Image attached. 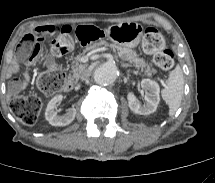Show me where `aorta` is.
I'll return each instance as SVG.
<instances>
[{
	"label": "aorta",
	"instance_id": "1",
	"mask_svg": "<svg viewBox=\"0 0 215 183\" xmlns=\"http://www.w3.org/2000/svg\"><path fill=\"white\" fill-rule=\"evenodd\" d=\"M120 75V70L113 62L100 64L94 71V80L100 85L114 83Z\"/></svg>",
	"mask_w": 215,
	"mask_h": 183
}]
</instances>
